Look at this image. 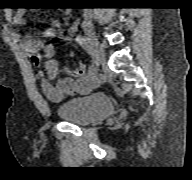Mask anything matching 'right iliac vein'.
Listing matches in <instances>:
<instances>
[{
	"instance_id": "right-iliac-vein-1",
	"label": "right iliac vein",
	"mask_w": 192,
	"mask_h": 180,
	"mask_svg": "<svg viewBox=\"0 0 192 180\" xmlns=\"http://www.w3.org/2000/svg\"><path fill=\"white\" fill-rule=\"evenodd\" d=\"M83 30L90 41L91 47H92V54L96 60L97 65L101 63L102 60V50L100 46V42L96 36V33L92 27V25L88 22H85L83 24Z\"/></svg>"
}]
</instances>
